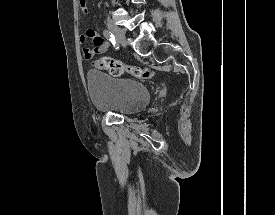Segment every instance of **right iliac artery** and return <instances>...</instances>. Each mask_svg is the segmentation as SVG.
I'll use <instances>...</instances> for the list:
<instances>
[{
	"instance_id": "82829eb1",
	"label": "right iliac artery",
	"mask_w": 275,
	"mask_h": 215,
	"mask_svg": "<svg viewBox=\"0 0 275 215\" xmlns=\"http://www.w3.org/2000/svg\"><path fill=\"white\" fill-rule=\"evenodd\" d=\"M103 34H104V36H105L109 41H111V43H112L113 45L116 44V42H115V37H114L113 33H111L109 30H104V31H103ZM116 49H118V46L116 47Z\"/></svg>"
}]
</instances>
